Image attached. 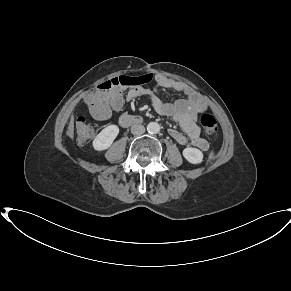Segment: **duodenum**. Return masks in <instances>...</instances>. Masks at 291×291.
<instances>
[{"mask_svg":"<svg viewBox=\"0 0 291 291\" xmlns=\"http://www.w3.org/2000/svg\"><path fill=\"white\" fill-rule=\"evenodd\" d=\"M120 124L124 127H128L135 124H141L143 119L140 116L124 114L120 117Z\"/></svg>","mask_w":291,"mask_h":291,"instance_id":"duodenum-1","label":"duodenum"}]
</instances>
